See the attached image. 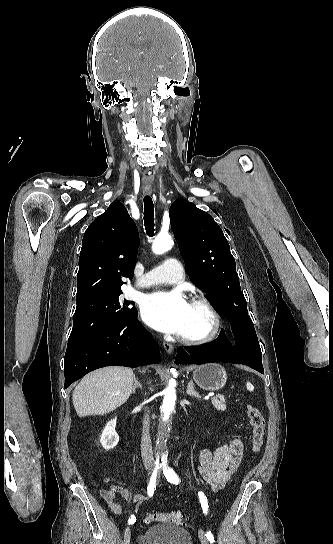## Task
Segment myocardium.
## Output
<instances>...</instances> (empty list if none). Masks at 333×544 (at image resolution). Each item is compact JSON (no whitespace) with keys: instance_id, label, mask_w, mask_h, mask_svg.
<instances>
[{"instance_id":"1","label":"myocardium","mask_w":333,"mask_h":544,"mask_svg":"<svg viewBox=\"0 0 333 544\" xmlns=\"http://www.w3.org/2000/svg\"><path fill=\"white\" fill-rule=\"evenodd\" d=\"M190 304L202 306L210 316L211 325L209 330L201 336L190 337L180 335L179 339L189 345H203L213 341L220 333L222 327V317L214 303L203 295H196L191 299Z\"/></svg>"}]
</instances>
